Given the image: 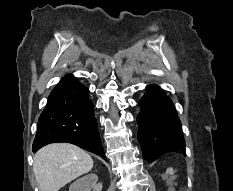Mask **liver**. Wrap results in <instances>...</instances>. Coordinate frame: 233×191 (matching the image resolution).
<instances>
[{
  "mask_svg": "<svg viewBox=\"0 0 233 191\" xmlns=\"http://www.w3.org/2000/svg\"><path fill=\"white\" fill-rule=\"evenodd\" d=\"M92 168L91 156L72 144H49L34 156L33 171L40 191H58Z\"/></svg>",
  "mask_w": 233,
  "mask_h": 191,
  "instance_id": "1",
  "label": "liver"
}]
</instances>
